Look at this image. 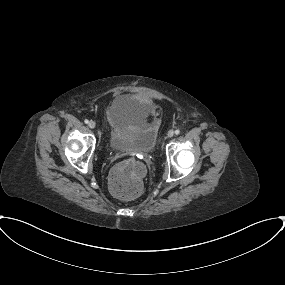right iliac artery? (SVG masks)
Instances as JSON below:
<instances>
[{
	"instance_id": "right-iliac-artery-1",
	"label": "right iliac artery",
	"mask_w": 285,
	"mask_h": 285,
	"mask_svg": "<svg viewBox=\"0 0 285 285\" xmlns=\"http://www.w3.org/2000/svg\"><path fill=\"white\" fill-rule=\"evenodd\" d=\"M84 122H85V124H88V123H89L88 119H85Z\"/></svg>"
}]
</instances>
